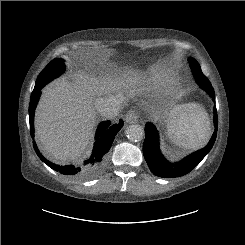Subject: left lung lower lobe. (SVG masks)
Returning <instances> with one entry per match:
<instances>
[{
	"instance_id": "0a47b994",
	"label": "left lung lower lobe",
	"mask_w": 245,
	"mask_h": 245,
	"mask_svg": "<svg viewBox=\"0 0 245 245\" xmlns=\"http://www.w3.org/2000/svg\"><path fill=\"white\" fill-rule=\"evenodd\" d=\"M203 89L212 97L215 101L214 89L211 85L203 86ZM214 126L215 131L205 148L192 153L188 157L184 158L181 162L171 164L161 154L159 149V138L156 127L152 123L145 124V141L143 144V154L146 162L153 174L159 177H180L189 173L194 169L201 160L207 155L214 145L217 129H218V116L216 107H214Z\"/></svg>"
}]
</instances>
